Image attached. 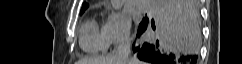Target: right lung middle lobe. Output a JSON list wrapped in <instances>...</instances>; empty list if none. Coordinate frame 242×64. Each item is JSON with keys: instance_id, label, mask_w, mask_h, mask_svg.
I'll list each match as a JSON object with an SVG mask.
<instances>
[{"instance_id": "1", "label": "right lung middle lobe", "mask_w": 242, "mask_h": 64, "mask_svg": "<svg viewBox=\"0 0 242 64\" xmlns=\"http://www.w3.org/2000/svg\"><path fill=\"white\" fill-rule=\"evenodd\" d=\"M83 12H84V11H82L81 14H82ZM147 21H148L147 18H143V20H142V22L140 23L139 27H143V26L146 24Z\"/></svg>"}]
</instances>
